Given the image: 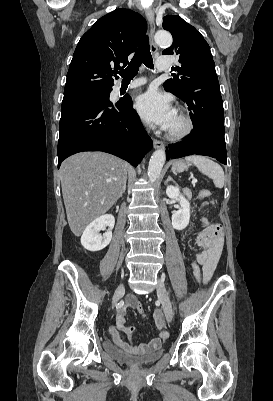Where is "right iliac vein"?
Returning <instances> with one entry per match:
<instances>
[{
    "label": "right iliac vein",
    "mask_w": 273,
    "mask_h": 401,
    "mask_svg": "<svg viewBox=\"0 0 273 401\" xmlns=\"http://www.w3.org/2000/svg\"><path fill=\"white\" fill-rule=\"evenodd\" d=\"M125 291L124 285L120 284L114 292L113 301H112V308L117 303L120 295H122Z\"/></svg>",
    "instance_id": "right-iliac-vein-1"
}]
</instances>
